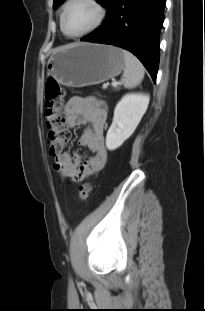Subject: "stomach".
Returning a JSON list of instances; mask_svg holds the SVG:
<instances>
[{
  "mask_svg": "<svg viewBox=\"0 0 205 311\" xmlns=\"http://www.w3.org/2000/svg\"><path fill=\"white\" fill-rule=\"evenodd\" d=\"M124 66L123 50L118 47L76 43L55 49L46 70L59 84L84 87L119 75Z\"/></svg>",
  "mask_w": 205,
  "mask_h": 311,
  "instance_id": "1",
  "label": "stomach"
}]
</instances>
